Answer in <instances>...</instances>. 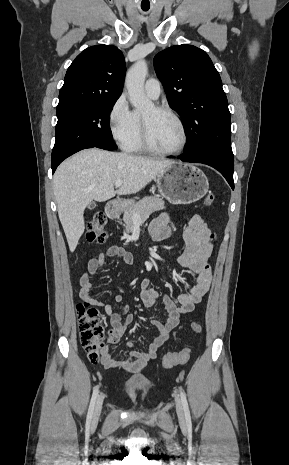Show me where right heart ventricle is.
Here are the masks:
<instances>
[{
  "label": "right heart ventricle",
  "instance_id": "obj_1",
  "mask_svg": "<svg viewBox=\"0 0 289 465\" xmlns=\"http://www.w3.org/2000/svg\"><path fill=\"white\" fill-rule=\"evenodd\" d=\"M135 115L138 121L137 129L123 148L130 153H142L145 149L141 140V116L138 112H135Z\"/></svg>",
  "mask_w": 289,
  "mask_h": 465
}]
</instances>
